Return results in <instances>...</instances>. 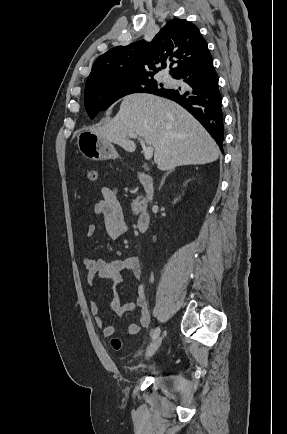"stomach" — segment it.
<instances>
[{
    "mask_svg": "<svg viewBox=\"0 0 287 434\" xmlns=\"http://www.w3.org/2000/svg\"><path fill=\"white\" fill-rule=\"evenodd\" d=\"M77 146L81 154L94 161L116 159L119 157L114 146L91 130L80 131Z\"/></svg>",
    "mask_w": 287,
    "mask_h": 434,
    "instance_id": "0dacf381",
    "label": "stomach"
}]
</instances>
